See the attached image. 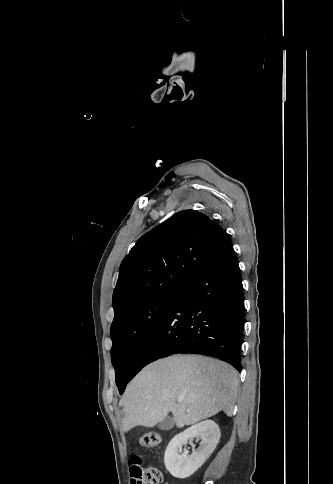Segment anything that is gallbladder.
Here are the masks:
<instances>
[{
    "label": "gallbladder",
    "instance_id": "1",
    "mask_svg": "<svg viewBox=\"0 0 333 484\" xmlns=\"http://www.w3.org/2000/svg\"><path fill=\"white\" fill-rule=\"evenodd\" d=\"M174 425H175V422L172 419V417L167 416L162 421H160L158 423V428L163 430V431H168V430L172 429L174 427Z\"/></svg>",
    "mask_w": 333,
    "mask_h": 484
}]
</instances>
